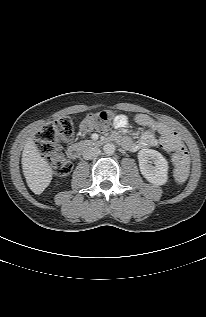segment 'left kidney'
<instances>
[{
  "mask_svg": "<svg viewBox=\"0 0 206 317\" xmlns=\"http://www.w3.org/2000/svg\"><path fill=\"white\" fill-rule=\"evenodd\" d=\"M138 161L141 174L150 183L164 185L167 182L168 162L158 151L141 149L138 152Z\"/></svg>",
  "mask_w": 206,
  "mask_h": 317,
  "instance_id": "5707ae66",
  "label": "left kidney"
}]
</instances>
